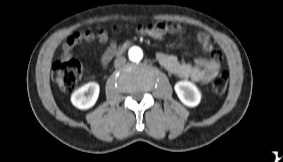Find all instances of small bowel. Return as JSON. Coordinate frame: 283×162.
Listing matches in <instances>:
<instances>
[{"mask_svg":"<svg viewBox=\"0 0 283 162\" xmlns=\"http://www.w3.org/2000/svg\"><path fill=\"white\" fill-rule=\"evenodd\" d=\"M138 32L154 39H162L167 34H178L183 31V28L176 23L159 22L156 24H150L147 26H139ZM198 43L206 53H212L210 58H197L195 63L189 64L182 62L175 55L160 52L157 54L159 63L172 75L181 79H190L194 82L208 83L210 82L220 71L221 53H213V45L210 41V37L205 32H199L196 36ZM97 40L101 44L108 42V35L106 32L101 31L98 34H94L92 31H81L72 33L64 42L62 47V59H72V50L80 42H91ZM108 49L102 55L100 59V66L107 68L113 62V50L115 49L114 43L108 44Z\"/></svg>","mask_w":283,"mask_h":162,"instance_id":"small-bowel-1","label":"small bowel"}]
</instances>
